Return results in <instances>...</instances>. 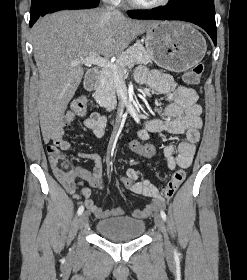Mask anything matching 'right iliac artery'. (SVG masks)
<instances>
[{
    "label": "right iliac artery",
    "instance_id": "obj_1",
    "mask_svg": "<svg viewBox=\"0 0 247 280\" xmlns=\"http://www.w3.org/2000/svg\"><path fill=\"white\" fill-rule=\"evenodd\" d=\"M84 211V207L81 205L79 208H78V211H77V214L80 216Z\"/></svg>",
    "mask_w": 247,
    "mask_h": 280
}]
</instances>
